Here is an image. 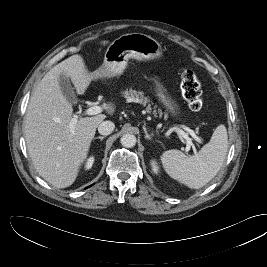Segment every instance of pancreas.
<instances>
[{"mask_svg":"<svg viewBox=\"0 0 267 267\" xmlns=\"http://www.w3.org/2000/svg\"><path fill=\"white\" fill-rule=\"evenodd\" d=\"M122 95L127 99L128 102H137V103H141L144 106H147L146 111L148 113L152 112L154 115L157 114L156 106H154V108L152 109L151 104H150V99L146 97L143 92L137 91L134 89H129V90L126 89L122 93Z\"/></svg>","mask_w":267,"mask_h":267,"instance_id":"1","label":"pancreas"}]
</instances>
